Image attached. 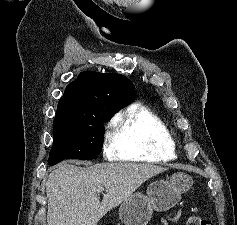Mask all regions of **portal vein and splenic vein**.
I'll return each mask as SVG.
<instances>
[{
	"mask_svg": "<svg viewBox=\"0 0 237 225\" xmlns=\"http://www.w3.org/2000/svg\"><path fill=\"white\" fill-rule=\"evenodd\" d=\"M103 190H104V186H99L98 189H97L98 192H101Z\"/></svg>",
	"mask_w": 237,
	"mask_h": 225,
	"instance_id": "obj_1",
	"label": "portal vein and splenic vein"
}]
</instances>
